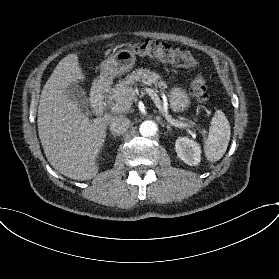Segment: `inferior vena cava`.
<instances>
[{
  "label": "inferior vena cava",
  "mask_w": 279,
  "mask_h": 279,
  "mask_svg": "<svg viewBox=\"0 0 279 279\" xmlns=\"http://www.w3.org/2000/svg\"><path fill=\"white\" fill-rule=\"evenodd\" d=\"M130 125L129 119L124 116H115L113 121L110 122L109 127L112 134H124Z\"/></svg>",
  "instance_id": "1"
}]
</instances>
